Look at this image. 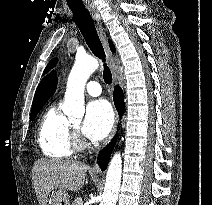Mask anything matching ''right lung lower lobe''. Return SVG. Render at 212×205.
<instances>
[{
    "instance_id": "98d812e1",
    "label": "right lung lower lobe",
    "mask_w": 212,
    "mask_h": 205,
    "mask_svg": "<svg viewBox=\"0 0 212 205\" xmlns=\"http://www.w3.org/2000/svg\"><path fill=\"white\" fill-rule=\"evenodd\" d=\"M114 103L119 115L121 116L123 114L124 108V95L121 88H119L118 86L114 90ZM115 140L116 138H113L110 144L105 149H103L98 156V164L100 165L102 170H105L107 167L111 152L115 144Z\"/></svg>"
}]
</instances>
